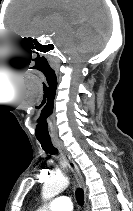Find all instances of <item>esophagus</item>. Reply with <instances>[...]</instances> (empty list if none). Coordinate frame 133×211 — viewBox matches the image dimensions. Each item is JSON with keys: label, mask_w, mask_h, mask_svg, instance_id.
Returning <instances> with one entry per match:
<instances>
[{"label": "esophagus", "mask_w": 133, "mask_h": 211, "mask_svg": "<svg viewBox=\"0 0 133 211\" xmlns=\"http://www.w3.org/2000/svg\"><path fill=\"white\" fill-rule=\"evenodd\" d=\"M53 144L61 152L65 162L67 163V165L73 172L76 182L83 189L84 201H85V204L87 205V190H86L84 180H83V177L80 173L78 166L76 165V163L72 159L70 153L67 151L66 147L64 146V144L61 141L55 140V141H53Z\"/></svg>", "instance_id": "34e87169"}]
</instances>
